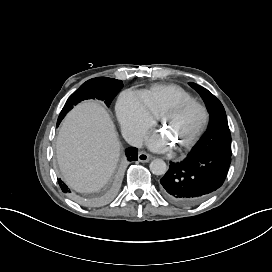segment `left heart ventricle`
Returning <instances> with one entry per match:
<instances>
[{"label":"left heart ventricle","mask_w":272,"mask_h":272,"mask_svg":"<svg viewBox=\"0 0 272 272\" xmlns=\"http://www.w3.org/2000/svg\"><path fill=\"white\" fill-rule=\"evenodd\" d=\"M199 120V112L189 109L179 113H168L165 122L170 126L172 132L181 140L185 141Z\"/></svg>","instance_id":"1"}]
</instances>
